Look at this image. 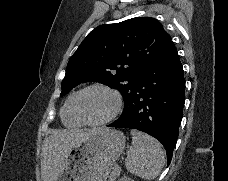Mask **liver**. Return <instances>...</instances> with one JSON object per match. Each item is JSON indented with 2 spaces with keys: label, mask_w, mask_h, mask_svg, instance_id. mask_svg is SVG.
<instances>
[{
  "label": "liver",
  "mask_w": 228,
  "mask_h": 181,
  "mask_svg": "<svg viewBox=\"0 0 228 181\" xmlns=\"http://www.w3.org/2000/svg\"><path fill=\"white\" fill-rule=\"evenodd\" d=\"M96 131H102V129H90L86 133L82 129H74V131L56 129V131H52L42 147L41 175L43 181H58L71 149Z\"/></svg>",
  "instance_id": "obj_1"
}]
</instances>
